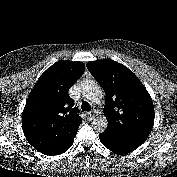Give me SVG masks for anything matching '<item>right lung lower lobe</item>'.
<instances>
[{
  "label": "right lung lower lobe",
  "mask_w": 177,
  "mask_h": 177,
  "mask_svg": "<svg viewBox=\"0 0 177 177\" xmlns=\"http://www.w3.org/2000/svg\"><path fill=\"white\" fill-rule=\"evenodd\" d=\"M67 148H69V144L65 146V148L63 150H66Z\"/></svg>",
  "instance_id": "1"
}]
</instances>
